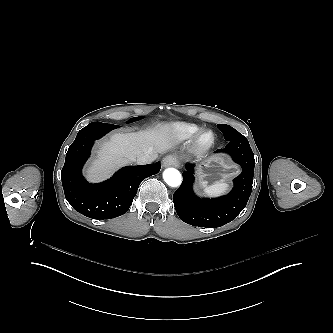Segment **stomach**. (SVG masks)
<instances>
[{"label": "stomach", "mask_w": 333, "mask_h": 333, "mask_svg": "<svg viewBox=\"0 0 333 333\" xmlns=\"http://www.w3.org/2000/svg\"><path fill=\"white\" fill-rule=\"evenodd\" d=\"M197 168L200 187H206L222 179H230L240 172L239 166L230 163L224 156L204 158Z\"/></svg>", "instance_id": "0dacf381"}]
</instances>
